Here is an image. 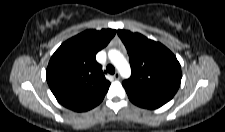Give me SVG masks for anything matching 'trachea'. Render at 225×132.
Masks as SVG:
<instances>
[{"label": "trachea", "instance_id": "1", "mask_svg": "<svg viewBox=\"0 0 225 132\" xmlns=\"http://www.w3.org/2000/svg\"><path fill=\"white\" fill-rule=\"evenodd\" d=\"M106 70H107V72H108L109 74H114V73H115V68H114V66L111 65V64L107 65Z\"/></svg>", "mask_w": 225, "mask_h": 132}]
</instances>
